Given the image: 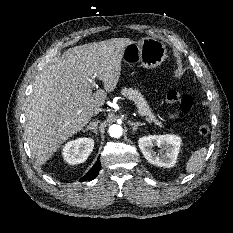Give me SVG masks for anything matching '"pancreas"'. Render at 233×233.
Instances as JSON below:
<instances>
[{"label":"pancreas","mask_w":233,"mask_h":233,"mask_svg":"<svg viewBox=\"0 0 233 233\" xmlns=\"http://www.w3.org/2000/svg\"><path fill=\"white\" fill-rule=\"evenodd\" d=\"M121 93L126 98L134 101V103L138 108L139 113L142 116H146V118L149 119L150 122L158 121L154 116V114L152 113L147 101L144 99L143 95L138 90L132 88H124L121 91ZM160 126H162L161 123Z\"/></svg>","instance_id":"1"}]
</instances>
